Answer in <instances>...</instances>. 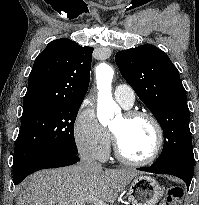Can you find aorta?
Listing matches in <instances>:
<instances>
[{
  "label": "aorta",
  "instance_id": "762f6f07",
  "mask_svg": "<svg viewBox=\"0 0 199 205\" xmlns=\"http://www.w3.org/2000/svg\"><path fill=\"white\" fill-rule=\"evenodd\" d=\"M113 75L112 67L106 63L100 64L96 69L98 88L97 117L102 125H106L114 113L120 112V108L113 100L111 93Z\"/></svg>",
  "mask_w": 199,
  "mask_h": 205
}]
</instances>
